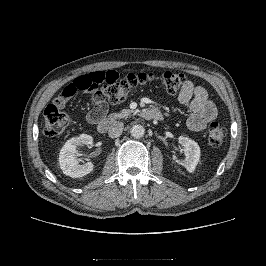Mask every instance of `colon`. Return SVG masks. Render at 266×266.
Masks as SVG:
<instances>
[{
    "mask_svg": "<svg viewBox=\"0 0 266 266\" xmlns=\"http://www.w3.org/2000/svg\"><path fill=\"white\" fill-rule=\"evenodd\" d=\"M159 82L167 94H175L187 82L184 74L165 71L130 73L120 75L116 71L92 72L75 78L63 88L61 93L44 110V133L49 137L62 134L69 123L68 116L61 111L67 101L77 92L91 91L100 88L106 101L112 104L123 102L129 94L137 89ZM226 136V129L217 122L208 128V142L213 147L220 146Z\"/></svg>",
    "mask_w": 266,
    "mask_h": 266,
    "instance_id": "5ec220e1",
    "label": "colon"
}]
</instances>
